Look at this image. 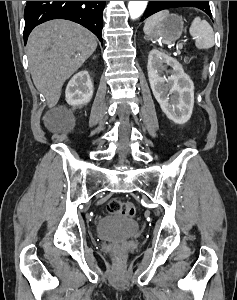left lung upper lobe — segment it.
Returning <instances> with one entry per match:
<instances>
[{
  "mask_svg": "<svg viewBox=\"0 0 237 300\" xmlns=\"http://www.w3.org/2000/svg\"><path fill=\"white\" fill-rule=\"evenodd\" d=\"M177 7L199 8L211 17L209 1H149L148 7L144 12V16L141 18V21L161 10Z\"/></svg>",
  "mask_w": 237,
  "mask_h": 300,
  "instance_id": "5c2ea615",
  "label": "left lung upper lobe"
}]
</instances>
